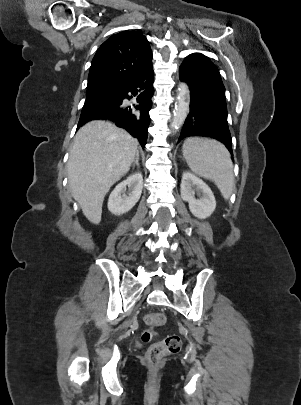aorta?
I'll use <instances>...</instances> for the list:
<instances>
[{"label": "aorta", "instance_id": "obj_1", "mask_svg": "<svg viewBox=\"0 0 301 405\" xmlns=\"http://www.w3.org/2000/svg\"><path fill=\"white\" fill-rule=\"evenodd\" d=\"M189 113V88L185 82L180 83L177 92V102L173 112L171 129L177 132Z\"/></svg>", "mask_w": 301, "mask_h": 405}]
</instances>
